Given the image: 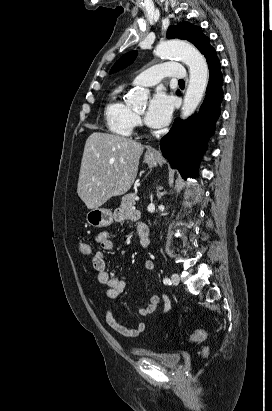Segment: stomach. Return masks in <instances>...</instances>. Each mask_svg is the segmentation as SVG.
<instances>
[{
  "label": "stomach",
  "mask_w": 272,
  "mask_h": 411,
  "mask_svg": "<svg viewBox=\"0 0 272 411\" xmlns=\"http://www.w3.org/2000/svg\"><path fill=\"white\" fill-rule=\"evenodd\" d=\"M144 162L149 166L154 167L157 165L158 157L153 154L146 153L144 156ZM86 220L89 225L97 228H102L113 223V214L109 209L98 207L91 209L87 213Z\"/></svg>",
  "instance_id": "stomach-1"
}]
</instances>
